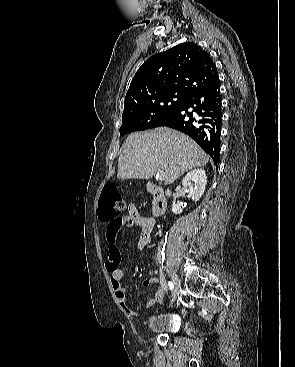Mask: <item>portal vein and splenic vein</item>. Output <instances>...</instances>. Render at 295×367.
I'll use <instances>...</instances> for the list:
<instances>
[{
  "instance_id": "portal-vein-and-splenic-vein-1",
  "label": "portal vein and splenic vein",
  "mask_w": 295,
  "mask_h": 367,
  "mask_svg": "<svg viewBox=\"0 0 295 367\" xmlns=\"http://www.w3.org/2000/svg\"><path fill=\"white\" fill-rule=\"evenodd\" d=\"M157 175H158V177H159V179L160 180H164L165 178H166V174H165V172L164 171H159L158 173H157Z\"/></svg>"
}]
</instances>
